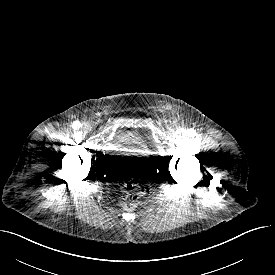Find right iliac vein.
<instances>
[{
    "label": "right iliac vein",
    "mask_w": 275,
    "mask_h": 275,
    "mask_svg": "<svg viewBox=\"0 0 275 275\" xmlns=\"http://www.w3.org/2000/svg\"><path fill=\"white\" fill-rule=\"evenodd\" d=\"M89 127H90V126H89L88 124H83V125H82V129H89Z\"/></svg>",
    "instance_id": "63e3f726"
}]
</instances>
